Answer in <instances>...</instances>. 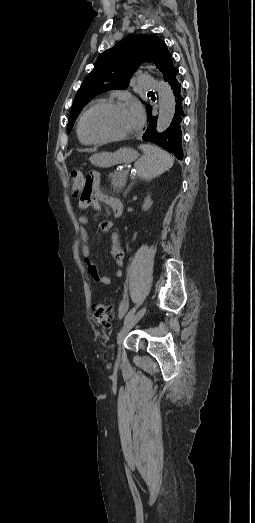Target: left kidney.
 Segmentation results:
<instances>
[{
    "label": "left kidney",
    "mask_w": 255,
    "mask_h": 523,
    "mask_svg": "<svg viewBox=\"0 0 255 523\" xmlns=\"http://www.w3.org/2000/svg\"><path fill=\"white\" fill-rule=\"evenodd\" d=\"M152 204H153V202H151L150 196H147V198H145L144 204L142 206L143 210H145V212H146V210H149V208H150V206H152Z\"/></svg>",
    "instance_id": "left-kidney-1"
}]
</instances>
